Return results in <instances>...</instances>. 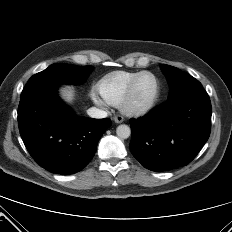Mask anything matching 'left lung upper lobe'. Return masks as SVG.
<instances>
[{"label": "left lung upper lobe", "mask_w": 232, "mask_h": 232, "mask_svg": "<svg viewBox=\"0 0 232 232\" xmlns=\"http://www.w3.org/2000/svg\"><path fill=\"white\" fill-rule=\"evenodd\" d=\"M161 69L166 75L169 82L170 93L169 98L173 97L187 89L202 86L201 83L191 75L179 70L176 67L162 64Z\"/></svg>", "instance_id": "5c2ea615"}]
</instances>
